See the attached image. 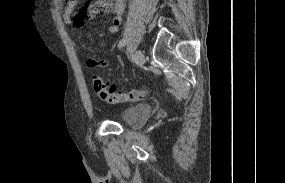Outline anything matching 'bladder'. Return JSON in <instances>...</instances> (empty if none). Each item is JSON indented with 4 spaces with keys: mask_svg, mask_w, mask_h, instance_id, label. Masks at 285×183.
<instances>
[{
    "mask_svg": "<svg viewBox=\"0 0 285 183\" xmlns=\"http://www.w3.org/2000/svg\"><path fill=\"white\" fill-rule=\"evenodd\" d=\"M152 114V108L146 104H137L123 110L121 122L129 127H140Z\"/></svg>",
    "mask_w": 285,
    "mask_h": 183,
    "instance_id": "bladder-1",
    "label": "bladder"
}]
</instances>
